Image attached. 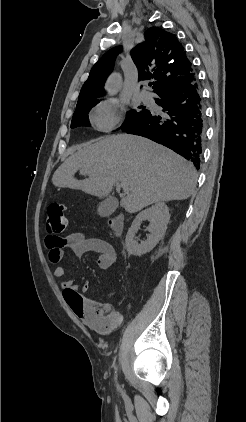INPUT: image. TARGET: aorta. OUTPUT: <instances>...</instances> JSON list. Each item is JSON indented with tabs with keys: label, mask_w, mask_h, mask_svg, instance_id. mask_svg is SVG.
Masks as SVG:
<instances>
[{
	"label": "aorta",
	"mask_w": 246,
	"mask_h": 422,
	"mask_svg": "<svg viewBox=\"0 0 246 422\" xmlns=\"http://www.w3.org/2000/svg\"><path fill=\"white\" fill-rule=\"evenodd\" d=\"M121 76L118 73H114L110 76L106 83V90L109 95H115L121 88Z\"/></svg>",
	"instance_id": "obj_1"
}]
</instances>
